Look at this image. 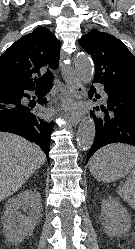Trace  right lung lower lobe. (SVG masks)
<instances>
[{
	"label": "right lung lower lobe",
	"mask_w": 135,
	"mask_h": 249,
	"mask_svg": "<svg viewBox=\"0 0 135 249\" xmlns=\"http://www.w3.org/2000/svg\"><path fill=\"white\" fill-rule=\"evenodd\" d=\"M23 97L30 98L24 90L0 91V131L20 135L38 144L49 160L50 135L54 123L39 118L33 110L35 105L25 104ZM38 103L45 104L46 99L39 98Z\"/></svg>",
	"instance_id": "98d812e1"
}]
</instances>
